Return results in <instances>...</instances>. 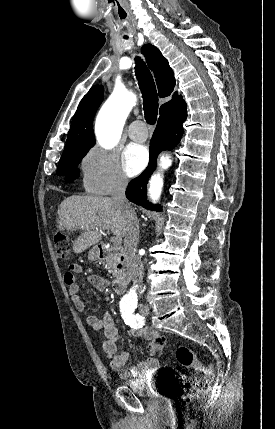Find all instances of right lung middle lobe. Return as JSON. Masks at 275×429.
<instances>
[{"instance_id": "1", "label": "right lung middle lobe", "mask_w": 275, "mask_h": 429, "mask_svg": "<svg viewBox=\"0 0 275 429\" xmlns=\"http://www.w3.org/2000/svg\"><path fill=\"white\" fill-rule=\"evenodd\" d=\"M86 153H77L62 156L58 165L57 175H66V181H72L79 176L77 165Z\"/></svg>"}]
</instances>
